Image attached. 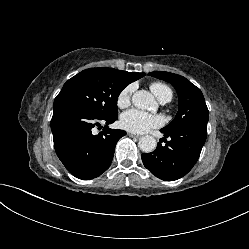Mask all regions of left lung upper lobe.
Masks as SVG:
<instances>
[{
  "mask_svg": "<svg viewBox=\"0 0 249 249\" xmlns=\"http://www.w3.org/2000/svg\"><path fill=\"white\" fill-rule=\"evenodd\" d=\"M149 75L165 80L173 85L179 97V109L175 119L162 132L176 131L194 124H206L209 111L202 92L185 77L169 72H151Z\"/></svg>",
  "mask_w": 249,
  "mask_h": 249,
  "instance_id": "5c2ea615",
  "label": "left lung upper lobe"
}]
</instances>
